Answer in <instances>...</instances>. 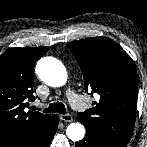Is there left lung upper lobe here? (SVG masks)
Listing matches in <instances>:
<instances>
[{
	"instance_id": "1",
	"label": "left lung upper lobe",
	"mask_w": 147,
	"mask_h": 147,
	"mask_svg": "<svg viewBox=\"0 0 147 147\" xmlns=\"http://www.w3.org/2000/svg\"><path fill=\"white\" fill-rule=\"evenodd\" d=\"M67 47L82 70L86 91L99 95L94 107L77 113V118L114 147H126L134 128L138 90L133 60L104 36L75 40Z\"/></svg>"
}]
</instances>
